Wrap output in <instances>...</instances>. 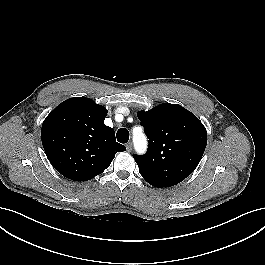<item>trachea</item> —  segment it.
<instances>
[{
	"mask_svg": "<svg viewBox=\"0 0 265 265\" xmlns=\"http://www.w3.org/2000/svg\"><path fill=\"white\" fill-rule=\"evenodd\" d=\"M117 140L120 142V143H127L128 140H129V132L126 128H120L118 131H117Z\"/></svg>",
	"mask_w": 265,
	"mask_h": 265,
	"instance_id": "obj_1",
	"label": "trachea"
}]
</instances>
